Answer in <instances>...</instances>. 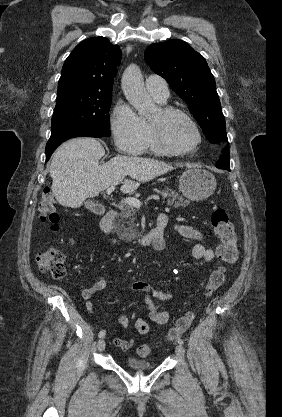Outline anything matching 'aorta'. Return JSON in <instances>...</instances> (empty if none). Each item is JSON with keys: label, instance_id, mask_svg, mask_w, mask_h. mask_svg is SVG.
I'll use <instances>...</instances> for the list:
<instances>
[{"label": "aorta", "instance_id": "762f6f07", "mask_svg": "<svg viewBox=\"0 0 282 417\" xmlns=\"http://www.w3.org/2000/svg\"><path fill=\"white\" fill-rule=\"evenodd\" d=\"M121 82L128 102L134 108H137L140 118H148L156 106L144 86L139 66L137 64H129L122 74Z\"/></svg>", "mask_w": 282, "mask_h": 417}]
</instances>
